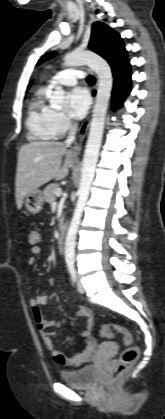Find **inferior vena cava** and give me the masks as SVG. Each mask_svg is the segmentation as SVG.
Here are the masks:
<instances>
[{
  "mask_svg": "<svg viewBox=\"0 0 165 419\" xmlns=\"http://www.w3.org/2000/svg\"><path fill=\"white\" fill-rule=\"evenodd\" d=\"M76 129H77V124H73V125L70 126L69 135H68V137L65 141L66 146H70L71 143L73 142L74 137H75Z\"/></svg>",
  "mask_w": 165,
  "mask_h": 419,
  "instance_id": "602c4592",
  "label": "inferior vena cava"
}]
</instances>
